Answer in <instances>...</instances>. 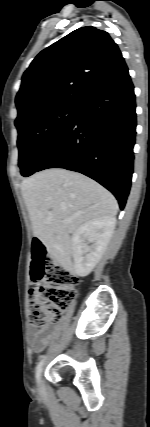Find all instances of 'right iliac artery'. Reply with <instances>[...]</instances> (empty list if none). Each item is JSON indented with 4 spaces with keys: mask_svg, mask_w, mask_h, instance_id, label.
Segmentation results:
<instances>
[{
    "mask_svg": "<svg viewBox=\"0 0 150 427\" xmlns=\"http://www.w3.org/2000/svg\"><path fill=\"white\" fill-rule=\"evenodd\" d=\"M44 360H45V357H43V359L38 363V365L36 367V378H37L38 381H39L40 376H41V372H42V367H43V364H44Z\"/></svg>",
    "mask_w": 150,
    "mask_h": 427,
    "instance_id": "82829eb1",
    "label": "right iliac artery"
}]
</instances>
